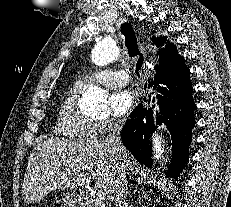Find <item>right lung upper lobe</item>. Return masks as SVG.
<instances>
[{"mask_svg": "<svg viewBox=\"0 0 231 207\" xmlns=\"http://www.w3.org/2000/svg\"><path fill=\"white\" fill-rule=\"evenodd\" d=\"M152 41L153 43L161 48L159 50L160 52V57H165V58H168V57H179L180 55H178V51L176 49V47L173 45V44H167V39L166 37H162L160 36V38H152ZM163 47V48H162Z\"/></svg>", "mask_w": 231, "mask_h": 207, "instance_id": "right-lung-upper-lobe-1", "label": "right lung upper lobe"}]
</instances>
